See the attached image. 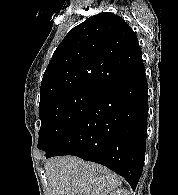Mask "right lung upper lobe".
Listing matches in <instances>:
<instances>
[{
    "instance_id": "obj_1",
    "label": "right lung upper lobe",
    "mask_w": 178,
    "mask_h": 195,
    "mask_svg": "<svg viewBox=\"0 0 178 195\" xmlns=\"http://www.w3.org/2000/svg\"><path fill=\"white\" fill-rule=\"evenodd\" d=\"M142 68L131 27L113 13L94 15L74 27L55 50L41 82L40 103L69 91H99Z\"/></svg>"
}]
</instances>
